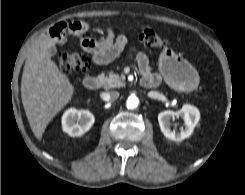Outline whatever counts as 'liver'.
I'll return each mask as SVG.
<instances>
[{
	"label": "liver",
	"instance_id": "liver-1",
	"mask_svg": "<svg viewBox=\"0 0 245 195\" xmlns=\"http://www.w3.org/2000/svg\"><path fill=\"white\" fill-rule=\"evenodd\" d=\"M58 43L50 39L29 52L21 80V98L29 125L41 140L47 125L72 99L75 92L69 78L50 58V49Z\"/></svg>",
	"mask_w": 245,
	"mask_h": 195
}]
</instances>
